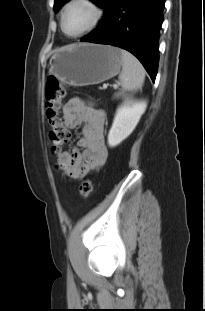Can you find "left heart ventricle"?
I'll list each match as a JSON object with an SVG mask.
<instances>
[{
	"instance_id": "left-heart-ventricle-1",
	"label": "left heart ventricle",
	"mask_w": 205,
	"mask_h": 311,
	"mask_svg": "<svg viewBox=\"0 0 205 311\" xmlns=\"http://www.w3.org/2000/svg\"><path fill=\"white\" fill-rule=\"evenodd\" d=\"M94 12L84 4L72 5L65 16L64 27L68 34H77L86 29L92 22Z\"/></svg>"
}]
</instances>
